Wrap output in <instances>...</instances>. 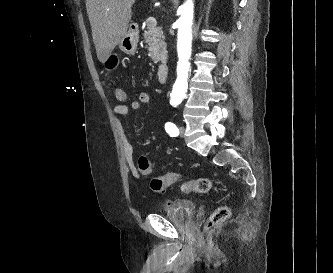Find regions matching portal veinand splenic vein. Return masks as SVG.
<instances>
[{"label":"portal vein and splenic vein","mask_w":333,"mask_h":273,"mask_svg":"<svg viewBox=\"0 0 333 273\" xmlns=\"http://www.w3.org/2000/svg\"><path fill=\"white\" fill-rule=\"evenodd\" d=\"M147 22H148V25H149L150 27H152V28H155L156 25H157V21H156V19H155L154 17H149V18L147 19Z\"/></svg>","instance_id":"obj_1"}]
</instances>
